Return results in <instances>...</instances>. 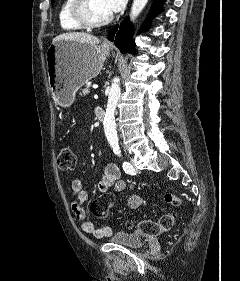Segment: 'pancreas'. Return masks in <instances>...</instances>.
Instances as JSON below:
<instances>
[{
  "label": "pancreas",
  "instance_id": "obj_1",
  "mask_svg": "<svg viewBox=\"0 0 240 281\" xmlns=\"http://www.w3.org/2000/svg\"><path fill=\"white\" fill-rule=\"evenodd\" d=\"M90 87L87 85L84 89H82V92L80 93L81 96H86L90 93Z\"/></svg>",
  "mask_w": 240,
  "mask_h": 281
}]
</instances>
